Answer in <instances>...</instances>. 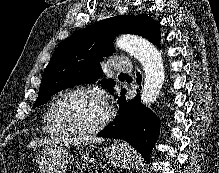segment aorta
<instances>
[{
    "label": "aorta",
    "mask_w": 219,
    "mask_h": 173,
    "mask_svg": "<svg viewBox=\"0 0 219 173\" xmlns=\"http://www.w3.org/2000/svg\"><path fill=\"white\" fill-rule=\"evenodd\" d=\"M115 46L141 63L145 72L141 102L146 106L152 105L160 94L165 78L161 53L149 41L129 34L118 37Z\"/></svg>",
    "instance_id": "1"
}]
</instances>
